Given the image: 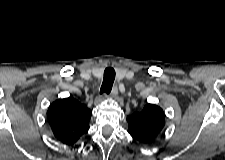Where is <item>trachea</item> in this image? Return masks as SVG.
<instances>
[{
  "label": "trachea",
  "instance_id": "1",
  "mask_svg": "<svg viewBox=\"0 0 225 160\" xmlns=\"http://www.w3.org/2000/svg\"><path fill=\"white\" fill-rule=\"evenodd\" d=\"M115 80V70L112 67H107L104 71L103 83L100 88V94H109Z\"/></svg>",
  "mask_w": 225,
  "mask_h": 160
}]
</instances>
